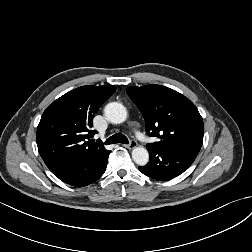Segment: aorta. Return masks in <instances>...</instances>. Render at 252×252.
Instances as JSON below:
<instances>
[{"mask_svg":"<svg viewBox=\"0 0 252 252\" xmlns=\"http://www.w3.org/2000/svg\"><path fill=\"white\" fill-rule=\"evenodd\" d=\"M105 118L114 124L123 123L127 118L126 108L118 102L108 103L104 108ZM132 159L140 166H144L149 161V153L144 147H136L132 150Z\"/></svg>","mask_w":252,"mask_h":252,"instance_id":"1","label":"aorta"}]
</instances>
